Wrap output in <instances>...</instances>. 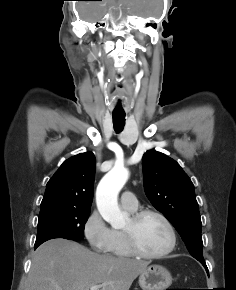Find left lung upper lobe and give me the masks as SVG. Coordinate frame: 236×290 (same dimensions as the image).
<instances>
[{
  "label": "left lung upper lobe",
  "mask_w": 236,
  "mask_h": 290,
  "mask_svg": "<svg viewBox=\"0 0 236 290\" xmlns=\"http://www.w3.org/2000/svg\"><path fill=\"white\" fill-rule=\"evenodd\" d=\"M142 167L148 199L176 228L190 254L205 262L202 224L190 178L176 161L157 151L144 154ZM204 267L208 270L206 263Z\"/></svg>",
  "instance_id": "1"
}]
</instances>
